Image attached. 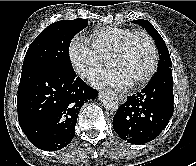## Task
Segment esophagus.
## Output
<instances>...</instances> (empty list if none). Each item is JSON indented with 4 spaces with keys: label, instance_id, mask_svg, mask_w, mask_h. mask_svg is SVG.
<instances>
[{
    "label": "esophagus",
    "instance_id": "1",
    "mask_svg": "<svg viewBox=\"0 0 196 166\" xmlns=\"http://www.w3.org/2000/svg\"><path fill=\"white\" fill-rule=\"evenodd\" d=\"M118 98L121 103H125V101L127 100V97L123 94L118 95Z\"/></svg>",
    "mask_w": 196,
    "mask_h": 166
}]
</instances>
